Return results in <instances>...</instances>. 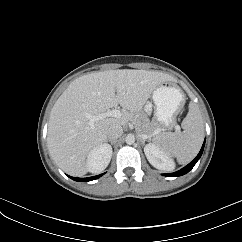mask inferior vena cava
Instances as JSON below:
<instances>
[{
	"label": "inferior vena cava",
	"mask_w": 242,
	"mask_h": 242,
	"mask_svg": "<svg viewBox=\"0 0 242 242\" xmlns=\"http://www.w3.org/2000/svg\"><path fill=\"white\" fill-rule=\"evenodd\" d=\"M123 134V129L119 125H112L109 127L107 135L110 140H115L122 136Z\"/></svg>",
	"instance_id": "obj_1"
}]
</instances>
